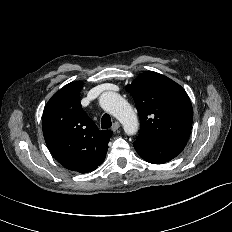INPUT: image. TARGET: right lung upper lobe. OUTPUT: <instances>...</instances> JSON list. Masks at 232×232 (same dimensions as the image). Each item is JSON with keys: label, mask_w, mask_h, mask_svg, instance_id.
Segmentation results:
<instances>
[{"label": "right lung upper lobe", "mask_w": 232, "mask_h": 232, "mask_svg": "<svg viewBox=\"0 0 232 232\" xmlns=\"http://www.w3.org/2000/svg\"><path fill=\"white\" fill-rule=\"evenodd\" d=\"M82 82H71L55 93L46 104L42 129L51 154L66 169L92 172L103 163L112 136L99 130L80 103Z\"/></svg>", "instance_id": "obj_1"}]
</instances>
